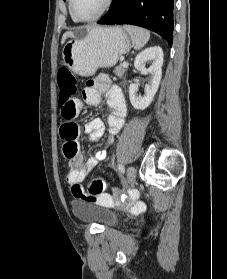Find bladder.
Returning <instances> with one entry per match:
<instances>
[{"label": "bladder", "mask_w": 227, "mask_h": 279, "mask_svg": "<svg viewBox=\"0 0 227 279\" xmlns=\"http://www.w3.org/2000/svg\"><path fill=\"white\" fill-rule=\"evenodd\" d=\"M72 207L76 216L86 223H98L105 227H114L119 222V218L113 210L90 202L75 201L72 203Z\"/></svg>", "instance_id": "31cf9c89"}]
</instances>
